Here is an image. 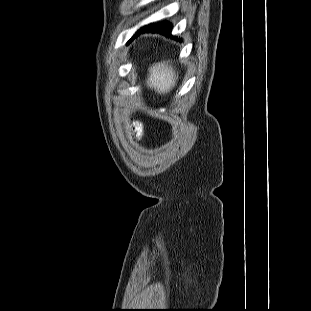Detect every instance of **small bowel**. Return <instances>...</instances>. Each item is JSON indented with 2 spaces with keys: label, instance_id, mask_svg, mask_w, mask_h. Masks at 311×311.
<instances>
[{
  "label": "small bowel",
  "instance_id": "1",
  "mask_svg": "<svg viewBox=\"0 0 311 311\" xmlns=\"http://www.w3.org/2000/svg\"><path fill=\"white\" fill-rule=\"evenodd\" d=\"M141 133H142V126L138 123H135L133 125V134L136 136V137H140L141 136Z\"/></svg>",
  "mask_w": 311,
  "mask_h": 311
}]
</instances>
